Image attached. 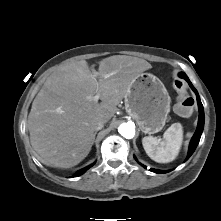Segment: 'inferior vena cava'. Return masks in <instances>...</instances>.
Returning <instances> with one entry per match:
<instances>
[{"label": "inferior vena cava", "mask_w": 221, "mask_h": 221, "mask_svg": "<svg viewBox=\"0 0 221 221\" xmlns=\"http://www.w3.org/2000/svg\"><path fill=\"white\" fill-rule=\"evenodd\" d=\"M104 126V122L102 120H94L91 123V128L93 131L101 130Z\"/></svg>", "instance_id": "inferior-vena-cava-1"}]
</instances>
